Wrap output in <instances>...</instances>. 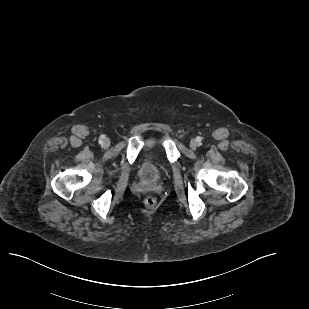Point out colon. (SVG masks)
Listing matches in <instances>:
<instances>
[{
	"label": "colon",
	"mask_w": 309,
	"mask_h": 309,
	"mask_svg": "<svg viewBox=\"0 0 309 309\" xmlns=\"http://www.w3.org/2000/svg\"><path fill=\"white\" fill-rule=\"evenodd\" d=\"M144 204L148 208H154L157 204V200L154 197L149 196L144 200Z\"/></svg>",
	"instance_id": "1"
}]
</instances>
